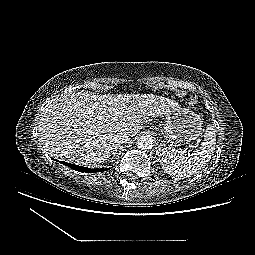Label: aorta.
Wrapping results in <instances>:
<instances>
[{
  "label": "aorta",
  "instance_id": "obj_1",
  "mask_svg": "<svg viewBox=\"0 0 255 255\" xmlns=\"http://www.w3.org/2000/svg\"><path fill=\"white\" fill-rule=\"evenodd\" d=\"M138 147L142 150H150L153 147V139L150 136H140L137 139Z\"/></svg>",
  "mask_w": 255,
  "mask_h": 255
}]
</instances>
